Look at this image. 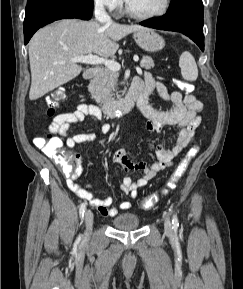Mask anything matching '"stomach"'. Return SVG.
Returning <instances> with one entry per match:
<instances>
[{
    "mask_svg": "<svg viewBox=\"0 0 243 289\" xmlns=\"http://www.w3.org/2000/svg\"><path fill=\"white\" fill-rule=\"evenodd\" d=\"M136 43L145 51L156 52L165 46L162 36L151 29H142L134 32L133 35Z\"/></svg>",
    "mask_w": 243,
    "mask_h": 289,
    "instance_id": "obj_1",
    "label": "stomach"
}]
</instances>
